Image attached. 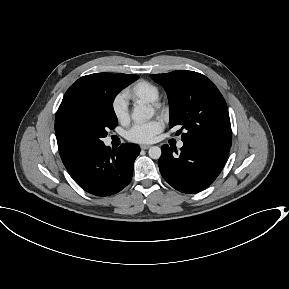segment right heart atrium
I'll return each instance as SVG.
<instances>
[{"label":"right heart atrium","mask_w":289,"mask_h":289,"mask_svg":"<svg viewBox=\"0 0 289 289\" xmlns=\"http://www.w3.org/2000/svg\"><path fill=\"white\" fill-rule=\"evenodd\" d=\"M112 112L120 123H127L130 119L127 99L123 95L116 96L111 104Z\"/></svg>","instance_id":"right-heart-atrium-1"}]
</instances>
